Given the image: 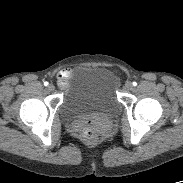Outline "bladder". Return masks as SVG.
Returning <instances> with one entry per match:
<instances>
[{
    "label": "bladder",
    "instance_id": "1",
    "mask_svg": "<svg viewBox=\"0 0 183 183\" xmlns=\"http://www.w3.org/2000/svg\"><path fill=\"white\" fill-rule=\"evenodd\" d=\"M120 108L113 76L100 67L84 69L63 96L61 113L75 121L90 115L114 116Z\"/></svg>",
    "mask_w": 183,
    "mask_h": 183
}]
</instances>
